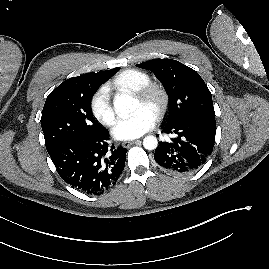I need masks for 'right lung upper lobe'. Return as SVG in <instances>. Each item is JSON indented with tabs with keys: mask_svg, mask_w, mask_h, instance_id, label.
Instances as JSON below:
<instances>
[{
	"mask_svg": "<svg viewBox=\"0 0 269 269\" xmlns=\"http://www.w3.org/2000/svg\"><path fill=\"white\" fill-rule=\"evenodd\" d=\"M115 71V68L112 70H107V71H99L97 73H87L78 77H73L70 78L66 81H64L63 83H61L59 86H64V85H68V84H73V83H83V82H87L90 81L93 78L96 77H103V76H107L112 74Z\"/></svg>",
	"mask_w": 269,
	"mask_h": 269,
	"instance_id": "cb5924a9",
	"label": "right lung upper lobe"
}]
</instances>
